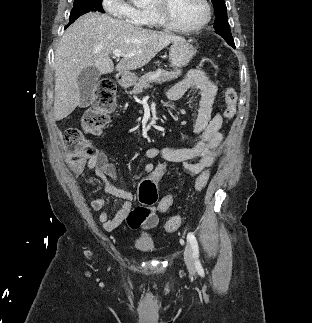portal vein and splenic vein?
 <instances>
[{
  "label": "portal vein and splenic vein",
  "instance_id": "18ae733b",
  "mask_svg": "<svg viewBox=\"0 0 312 323\" xmlns=\"http://www.w3.org/2000/svg\"><path fill=\"white\" fill-rule=\"evenodd\" d=\"M113 56L114 58H131V56H135V54H122V52H120V50H114L113 52Z\"/></svg>",
  "mask_w": 312,
  "mask_h": 323
}]
</instances>
